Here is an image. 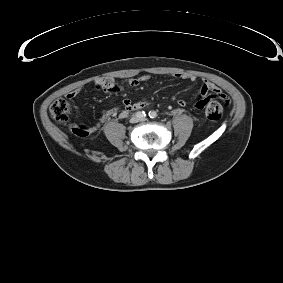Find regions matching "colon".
Masks as SVG:
<instances>
[{
	"mask_svg": "<svg viewBox=\"0 0 283 283\" xmlns=\"http://www.w3.org/2000/svg\"><path fill=\"white\" fill-rule=\"evenodd\" d=\"M223 105L228 106V98L220 92L217 97L206 108V116L212 121H217L223 116ZM50 114L55 121L64 124L68 121L70 115V104L64 99L59 98L50 105ZM73 132L78 136H87L92 129L88 125L78 124L73 126Z\"/></svg>",
	"mask_w": 283,
	"mask_h": 283,
	"instance_id": "1",
	"label": "colon"
}]
</instances>
